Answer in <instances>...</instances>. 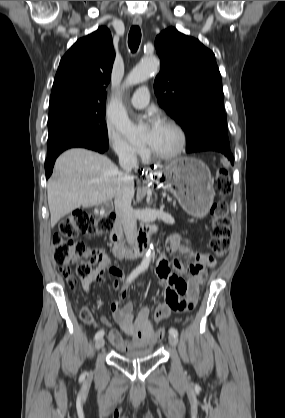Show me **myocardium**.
Wrapping results in <instances>:
<instances>
[{"mask_svg":"<svg viewBox=\"0 0 285 418\" xmlns=\"http://www.w3.org/2000/svg\"><path fill=\"white\" fill-rule=\"evenodd\" d=\"M164 125L176 131L178 135L177 148L171 153H161L151 148V156L158 160H172L184 152L187 143V135L184 128L174 120H166Z\"/></svg>","mask_w":285,"mask_h":418,"instance_id":"myocardium-1","label":"myocardium"}]
</instances>
